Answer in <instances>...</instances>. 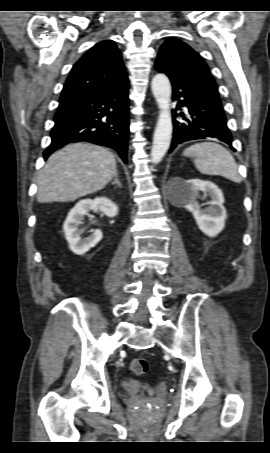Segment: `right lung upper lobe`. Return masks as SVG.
<instances>
[{"mask_svg": "<svg viewBox=\"0 0 270 453\" xmlns=\"http://www.w3.org/2000/svg\"><path fill=\"white\" fill-rule=\"evenodd\" d=\"M127 78L116 44L104 40L94 45L73 66L60 100L104 92Z\"/></svg>", "mask_w": 270, "mask_h": 453, "instance_id": "cb5924a9", "label": "right lung upper lobe"}]
</instances>
